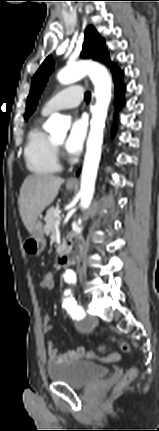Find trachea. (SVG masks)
<instances>
[{
	"label": "trachea",
	"mask_w": 159,
	"mask_h": 431,
	"mask_svg": "<svg viewBox=\"0 0 159 431\" xmlns=\"http://www.w3.org/2000/svg\"><path fill=\"white\" fill-rule=\"evenodd\" d=\"M90 100H91V93H90L89 91H87V92L85 93V101H86L87 103H89V102H90Z\"/></svg>",
	"instance_id": "obj_1"
}]
</instances>
